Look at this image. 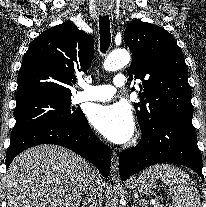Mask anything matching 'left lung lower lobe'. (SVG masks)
I'll return each instance as SVG.
<instances>
[{
  "instance_id": "1",
  "label": "left lung lower lobe",
  "mask_w": 206,
  "mask_h": 207,
  "mask_svg": "<svg viewBox=\"0 0 206 207\" xmlns=\"http://www.w3.org/2000/svg\"><path fill=\"white\" fill-rule=\"evenodd\" d=\"M161 162L185 165L203 179L202 157L192 117H165L150 131L142 132L139 144L123 150L119 155L121 179L126 180L145 167Z\"/></svg>"
}]
</instances>
